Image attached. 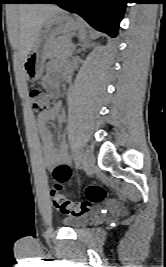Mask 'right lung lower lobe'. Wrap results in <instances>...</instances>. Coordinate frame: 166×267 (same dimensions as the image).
<instances>
[{
  "label": "right lung lower lobe",
  "mask_w": 166,
  "mask_h": 267,
  "mask_svg": "<svg viewBox=\"0 0 166 267\" xmlns=\"http://www.w3.org/2000/svg\"><path fill=\"white\" fill-rule=\"evenodd\" d=\"M40 0H28V1H26L27 3H37V2H39Z\"/></svg>",
  "instance_id": "98d812e1"
}]
</instances>
